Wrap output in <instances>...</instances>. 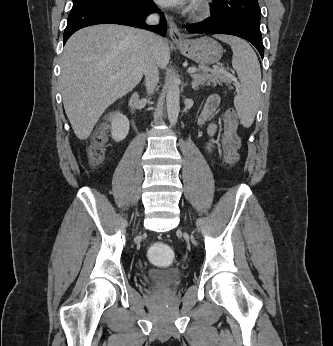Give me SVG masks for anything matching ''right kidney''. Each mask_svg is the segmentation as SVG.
I'll return each instance as SVG.
<instances>
[{
  "mask_svg": "<svg viewBox=\"0 0 333 346\" xmlns=\"http://www.w3.org/2000/svg\"><path fill=\"white\" fill-rule=\"evenodd\" d=\"M130 123L126 116L117 113L112 116L111 136L114 141L120 142L126 138L129 132Z\"/></svg>",
  "mask_w": 333,
  "mask_h": 346,
  "instance_id": "ca27d5eb",
  "label": "right kidney"
}]
</instances>
